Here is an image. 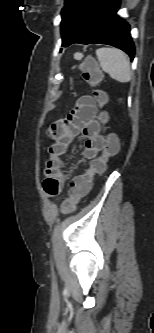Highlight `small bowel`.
Masks as SVG:
<instances>
[{
    "mask_svg": "<svg viewBox=\"0 0 154 333\" xmlns=\"http://www.w3.org/2000/svg\"><path fill=\"white\" fill-rule=\"evenodd\" d=\"M98 107L89 96L80 97L69 115L54 122L48 134L54 142L48 148L43 188L47 196H57L67 179L63 157L77 136L85 139L83 157L92 161L103 150L105 137L96 119Z\"/></svg>",
    "mask_w": 154,
    "mask_h": 333,
    "instance_id": "obj_1",
    "label": "small bowel"
}]
</instances>
